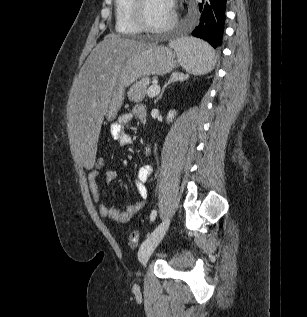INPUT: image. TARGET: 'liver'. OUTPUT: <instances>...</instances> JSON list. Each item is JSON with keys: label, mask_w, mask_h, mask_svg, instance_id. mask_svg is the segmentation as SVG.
I'll return each instance as SVG.
<instances>
[{"label": "liver", "mask_w": 307, "mask_h": 317, "mask_svg": "<svg viewBox=\"0 0 307 317\" xmlns=\"http://www.w3.org/2000/svg\"><path fill=\"white\" fill-rule=\"evenodd\" d=\"M149 45L145 41L109 34L94 48L80 69L67 114L70 144L80 154V166L84 171L94 170L95 141L123 62Z\"/></svg>", "instance_id": "1"}]
</instances>
